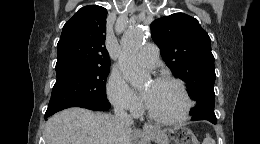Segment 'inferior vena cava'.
I'll return each mask as SVG.
<instances>
[{"instance_id": "602c4592", "label": "inferior vena cava", "mask_w": 260, "mask_h": 144, "mask_svg": "<svg viewBox=\"0 0 260 144\" xmlns=\"http://www.w3.org/2000/svg\"><path fill=\"white\" fill-rule=\"evenodd\" d=\"M114 114L115 117L118 118L123 125H132L134 123L132 117L128 115L124 107L116 106L114 108Z\"/></svg>"}]
</instances>
